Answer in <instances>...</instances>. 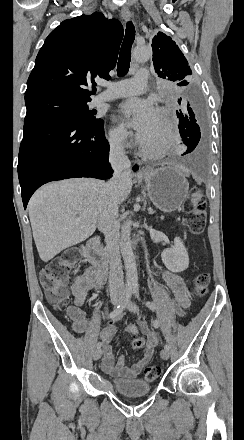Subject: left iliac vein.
Instances as JSON below:
<instances>
[{"label":"left iliac vein","mask_w":244,"mask_h":440,"mask_svg":"<svg viewBox=\"0 0 244 440\" xmlns=\"http://www.w3.org/2000/svg\"><path fill=\"white\" fill-rule=\"evenodd\" d=\"M126 308L133 313H138V308L133 302L129 301L128 304L126 305ZM160 356L164 360L169 359V351L167 349H162L160 351Z\"/></svg>","instance_id":"1"}]
</instances>
